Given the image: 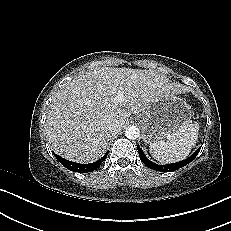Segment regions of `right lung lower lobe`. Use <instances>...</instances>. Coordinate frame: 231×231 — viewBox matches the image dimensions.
<instances>
[{
	"label": "right lung lower lobe",
	"instance_id": "1",
	"mask_svg": "<svg viewBox=\"0 0 231 231\" xmlns=\"http://www.w3.org/2000/svg\"><path fill=\"white\" fill-rule=\"evenodd\" d=\"M53 154L55 155L56 159L67 169L74 171V172L87 173V172L96 170L101 165V163L106 159L108 152H106V154L98 161L94 163H89V164H80V163L68 161L58 156L55 153Z\"/></svg>",
	"mask_w": 231,
	"mask_h": 231
}]
</instances>
